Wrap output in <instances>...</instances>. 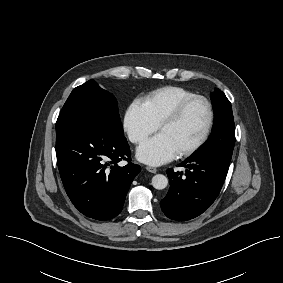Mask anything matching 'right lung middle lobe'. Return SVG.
Masks as SVG:
<instances>
[{
  "instance_id": "dd1d6c3e",
  "label": "right lung middle lobe",
  "mask_w": 283,
  "mask_h": 283,
  "mask_svg": "<svg viewBox=\"0 0 283 283\" xmlns=\"http://www.w3.org/2000/svg\"><path fill=\"white\" fill-rule=\"evenodd\" d=\"M98 120L123 133L117 101L94 80L76 87L65 102L56 122V134L83 121Z\"/></svg>"
}]
</instances>
